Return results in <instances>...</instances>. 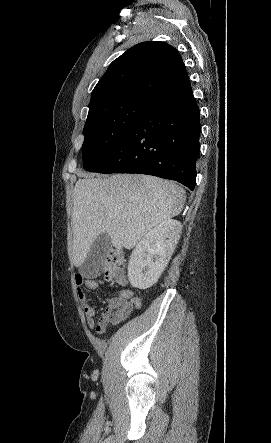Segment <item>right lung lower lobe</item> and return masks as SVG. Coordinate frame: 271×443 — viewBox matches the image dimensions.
<instances>
[{
	"label": "right lung lower lobe",
	"mask_w": 271,
	"mask_h": 443,
	"mask_svg": "<svg viewBox=\"0 0 271 443\" xmlns=\"http://www.w3.org/2000/svg\"><path fill=\"white\" fill-rule=\"evenodd\" d=\"M200 112L191 87L154 101L110 158L93 172L139 173L194 189Z\"/></svg>",
	"instance_id": "obj_1"
}]
</instances>
